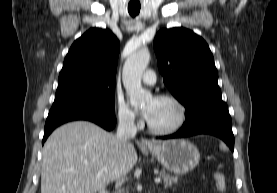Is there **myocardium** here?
<instances>
[{
  "label": "myocardium",
  "instance_id": "f54148a6",
  "mask_svg": "<svg viewBox=\"0 0 277 193\" xmlns=\"http://www.w3.org/2000/svg\"><path fill=\"white\" fill-rule=\"evenodd\" d=\"M156 99L172 102L178 109V113H179L178 120L173 126L169 128H164V129L156 128L152 126L149 123V121H147L148 130L155 135H161V136L170 135L177 132L179 129L183 127L187 119V110L185 105L176 96L171 94H161V95H158Z\"/></svg>",
  "mask_w": 277,
  "mask_h": 193
}]
</instances>
